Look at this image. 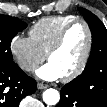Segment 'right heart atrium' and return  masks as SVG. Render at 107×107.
Wrapping results in <instances>:
<instances>
[{
  "label": "right heart atrium",
  "instance_id": "obj_1",
  "mask_svg": "<svg viewBox=\"0 0 107 107\" xmlns=\"http://www.w3.org/2000/svg\"><path fill=\"white\" fill-rule=\"evenodd\" d=\"M9 47L19 67L26 72L35 70L46 58V55L35 45L30 37L21 34L12 37Z\"/></svg>",
  "mask_w": 107,
  "mask_h": 107
}]
</instances>
